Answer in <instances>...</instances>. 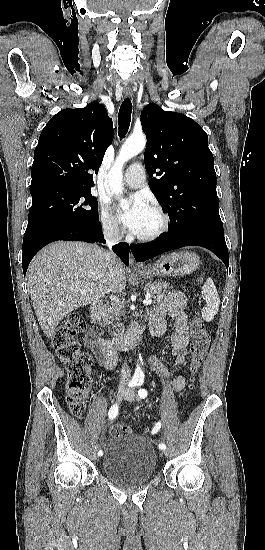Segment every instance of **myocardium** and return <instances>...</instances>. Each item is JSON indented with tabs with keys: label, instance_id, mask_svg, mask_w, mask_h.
Returning <instances> with one entry per match:
<instances>
[{
	"label": "myocardium",
	"instance_id": "obj_1",
	"mask_svg": "<svg viewBox=\"0 0 265 550\" xmlns=\"http://www.w3.org/2000/svg\"><path fill=\"white\" fill-rule=\"evenodd\" d=\"M150 209L159 217L160 224L154 231L150 233L134 234V237L141 242H150L156 240L157 238L165 234L170 226V218L168 214L163 211V209L156 205L151 206Z\"/></svg>",
	"mask_w": 265,
	"mask_h": 550
}]
</instances>
